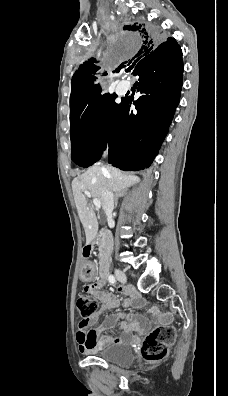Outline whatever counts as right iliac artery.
I'll return each mask as SVG.
<instances>
[{"mask_svg":"<svg viewBox=\"0 0 228 396\" xmlns=\"http://www.w3.org/2000/svg\"><path fill=\"white\" fill-rule=\"evenodd\" d=\"M108 280H109V282H110L111 284H115V283H116V279H115V277H114L113 275H109V276H108Z\"/></svg>","mask_w":228,"mask_h":396,"instance_id":"82829eb1","label":"right iliac artery"}]
</instances>
